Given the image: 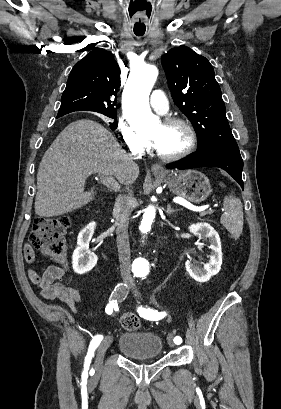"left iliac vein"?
I'll use <instances>...</instances> for the list:
<instances>
[{
    "label": "left iliac vein",
    "mask_w": 281,
    "mask_h": 409,
    "mask_svg": "<svg viewBox=\"0 0 281 409\" xmlns=\"http://www.w3.org/2000/svg\"><path fill=\"white\" fill-rule=\"evenodd\" d=\"M130 288H131V289H134V285H133V284H130ZM167 339H168V344H169V346L172 347V348H174L176 345H175V342H174L173 335H172V334H169L168 337H167Z\"/></svg>",
    "instance_id": "left-iliac-vein-1"
}]
</instances>
